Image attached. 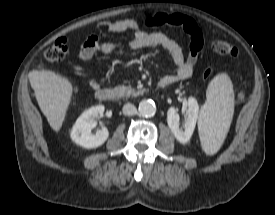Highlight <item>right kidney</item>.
<instances>
[{
    "mask_svg": "<svg viewBox=\"0 0 275 215\" xmlns=\"http://www.w3.org/2000/svg\"><path fill=\"white\" fill-rule=\"evenodd\" d=\"M104 106L98 105L84 111L72 127L70 136L76 144L92 149L101 146L108 138L107 128L98 130L95 134L91 130L96 127V118L102 116Z\"/></svg>",
    "mask_w": 275,
    "mask_h": 215,
    "instance_id": "1",
    "label": "right kidney"
}]
</instances>
